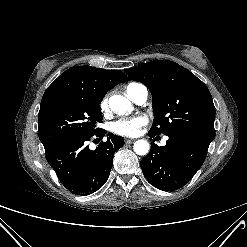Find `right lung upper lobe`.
<instances>
[{"mask_svg": "<svg viewBox=\"0 0 247 247\" xmlns=\"http://www.w3.org/2000/svg\"><path fill=\"white\" fill-rule=\"evenodd\" d=\"M128 81L120 70H104L90 66H75L63 72L45 91L41 108L79 95L105 94L119 83Z\"/></svg>", "mask_w": 247, "mask_h": 247, "instance_id": "obj_1", "label": "right lung upper lobe"}]
</instances>
